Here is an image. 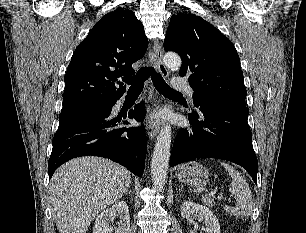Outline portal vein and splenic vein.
Masks as SVG:
<instances>
[{"label":"portal vein and splenic vein","instance_id":"18ae733b","mask_svg":"<svg viewBox=\"0 0 306 233\" xmlns=\"http://www.w3.org/2000/svg\"><path fill=\"white\" fill-rule=\"evenodd\" d=\"M216 195V190H212L211 192H209L208 194H205V196H215ZM202 197H204V195H202ZM218 198H223V195H219Z\"/></svg>","mask_w":306,"mask_h":233}]
</instances>
